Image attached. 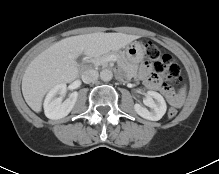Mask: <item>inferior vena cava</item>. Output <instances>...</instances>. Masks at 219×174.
I'll list each match as a JSON object with an SVG mask.
<instances>
[{"label": "inferior vena cava", "instance_id": "obj_1", "mask_svg": "<svg viewBox=\"0 0 219 174\" xmlns=\"http://www.w3.org/2000/svg\"><path fill=\"white\" fill-rule=\"evenodd\" d=\"M98 76H99L98 71L90 69V70L84 71L82 73L81 78L84 83L88 84V83L96 81L98 79Z\"/></svg>", "mask_w": 219, "mask_h": 174}]
</instances>
